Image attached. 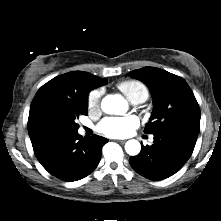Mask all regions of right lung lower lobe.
Listing matches in <instances>:
<instances>
[{
  "label": "right lung lower lobe",
  "mask_w": 221,
  "mask_h": 221,
  "mask_svg": "<svg viewBox=\"0 0 221 221\" xmlns=\"http://www.w3.org/2000/svg\"><path fill=\"white\" fill-rule=\"evenodd\" d=\"M107 142L98 135L83 138L77 132L66 133L53 140L36 157L51 175L67 182L77 181L94 171Z\"/></svg>",
  "instance_id": "1"
}]
</instances>
